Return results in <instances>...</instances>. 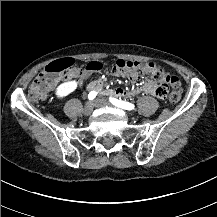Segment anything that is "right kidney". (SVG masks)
Listing matches in <instances>:
<instances>
[{
  "instance_id": "1",
  "label": "right kidney",
  "mask_w": 217,
  "mask_h": 217,
  "mask_svg": "<svg viewBox=\"0 0 217 217\" xmlns=\"http://www.w3.org/2000/svg\"><path fill=\"white\" fill-rule=\"evenodd\" d=\"M78 82L75 80H70L67 82H63L57 86V99L61 100L64 99L67 95L73 93L78 88Z\"/></svg>"
}]
</instances>
